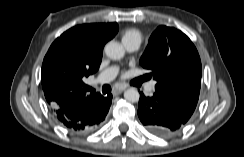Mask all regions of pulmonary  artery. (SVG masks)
Returning <instances> with one entry per match:
<instances>
[{
    "label": "pulmonary artery",
    "mask_w": 244,
    "mask_h": 157,
    "mask_svg": "<svg viewBox=\"0 0 244 157\" xmlns=\"http://www.w3.org/2000/svg\"><path fill=\"white\" fill-rule=\"evenodd\" d=\"M123 45L128 52H133L138 49L140 44L135 41H129V42L123 43ZM117 72H118V68L116 66L107 68L106 70H104L103 72L100 73L96 83L105 84V83L112 81L115 78V76L117 75ZM153 88H154V82H152L146 86V91L152 92Z\"/></svg>",
    "instance_id": "1"
}]
</instances>
